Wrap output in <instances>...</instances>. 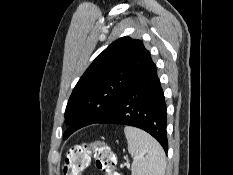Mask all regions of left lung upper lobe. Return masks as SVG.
<instances>
[{"instance_id":"obj_1","label":"left lung upper lobe","mask_w":233,"mask_h":175,"mask_svg":"<svg viewBox=\"0 0 233 175\" xmlns=\"http://www.w3.org/2000/svg\"><path fill=\"white\" fill-rule=\"evenodd\" d=\"M151 63L140 40L122 37L109 45L82 75L68 100L65 118L72 125L64 139L107 113Z\"/></svg>"}]
</instances>
